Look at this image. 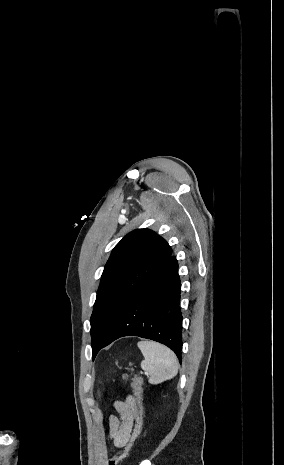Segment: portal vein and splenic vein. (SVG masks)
Here are the masks:
<instances>
[{"label": "portal vein and splenic vein", "mask_w": 284, "mask_h": 465, "mask_svg": "<svg viewBox=\"0 0 284 465\" xmlns=\"http://www.w3.org/2000/svg\"><path fill=\"white\" fill-rule=\"evenodd\" d=\"M144 375H148V373H144Z\"/></svg>", "instance_id": "18ae733b"}]
</instances>
